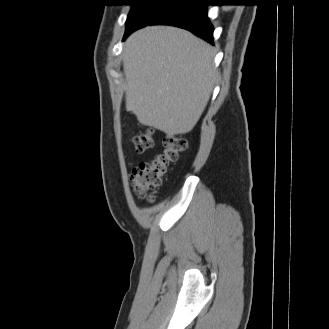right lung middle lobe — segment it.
Wrapping results in <instances>:
<instances>
[{"mask_svg":"<svg viewBox=\"0 0 329 329\" xmlns=\"http://www.w3.org/2000/svg\"><path fill=\"white\" fill-rule=\"evenodd\" d=\"M132 8L126 21L127 36L136 28L146 26L151 22L162 10L171 3L179 0H130Z\"/></svg>","mask_w":329,"mask_h":329,"instance_id":"right-lung-middle-lobe-1","label":"right lung middle lobe"}]
</instances>
